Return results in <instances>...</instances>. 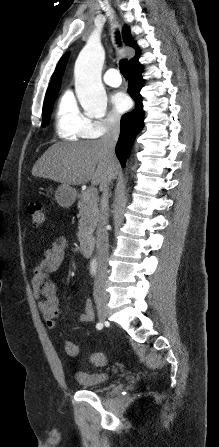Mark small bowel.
I'll use <instances>...</instances> for the list:
<instances>
[{"label":"small bowel","instance_id":"small-bowel-1","mask_svg":"<svg viewBox=\"0 0 219 447\" xmlns=\"http://www.w3.org/2000/svg\"><path fill=\"white\" fill-rule=\"evenodd\" d=\"M68 241L63 237L54 239L50 247L43 253L31 269V287L35 298L38 300V308L48 328L58 326L57 318L63 315L58 306L57 286L52 280V275L61 266ZM95 313L90 300H86L84 311L74 318L75 322L90 323L94 321Z\"/></svg>","mask_w":219,"mask_h":447}]
</instances>
